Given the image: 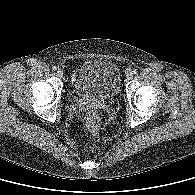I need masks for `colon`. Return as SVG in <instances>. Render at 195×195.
I'll use <instances>...</instances> for the list:
<instances>
[{
    "mask_svg": "<svg viewBox=\"0 0 195 195\" xmlns=\"http://www.w3.org/2000/svg\"><path fill=\"white\" fill-rule=\"evenodd\" d=\"M89 130L97 134L100 130V117L95 109H89L86 116Z\"/></svg>",
    "mask_w": 195,
    "mask_h": 195,
    "instance_id": "colon-1",
    "label": "colon"
}]
</instances>
